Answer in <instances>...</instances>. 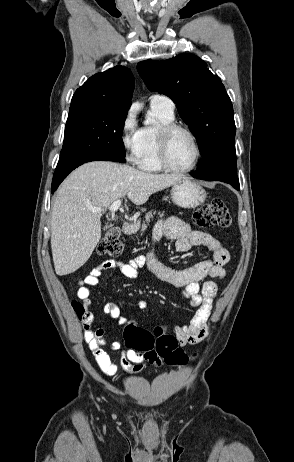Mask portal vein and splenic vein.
I'll return each instance as SVG.
<instances>
[{"label": "portal vein and splenic vein", "instance_id": "obj_1", "mask_svg": "<svg viewBox=\"0 0 294 462\" xmlns=\"http://www.w3.org/2000/svg\"><path fill=\"white\" fill-rule=\"evenodd\" d=\"M120 206H121V201L116 200L111 204L109 209L111 212L115 213L120 208ZM89 210L92 211L93 213H100L102 211V209L96 208V207H90Z\"/></svg>", "mask_w": 294, "mask_h": 462}]
</instances>
